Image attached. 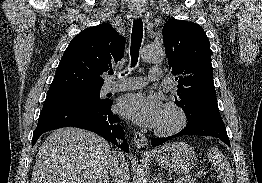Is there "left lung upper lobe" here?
Here are the masks:
<instances>
[{"instance_id":"obj_1","label":"left lung upper lobe","mask_w":262,"mask_h":183,"mask_svg":"<svg viewBox=\"0 0 262 183\" xmlns=\"http://www.w3.org/2000/svg\"><path fill=\"white\" fill-rule=\"evenodd\" d=\"M164 47L171 73L178 83L176 104L188 121L220 116L213 83L211 49L203 28L193 22L171 19L163 27Z\"/></svg>"}]
</instances>
